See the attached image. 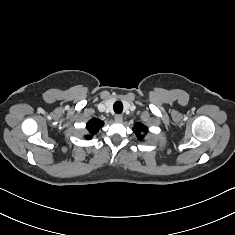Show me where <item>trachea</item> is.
<instances>
[{
    "mask_svg": "<svg viewBox=\"0 0 235 235\" xmlns=\"http://www.w3.org/2000/svg\"><path fill=\"white\" fill-rule=\"evenodd\" d=\"M115 113H121L123 111V104L120 101H116L113 105Z\"/></svg>",
    "mask_w": 235,
    "mask_h": 235,
    "instance_id": "obj_1",
    "label": "trachea"
}]
</instances>
